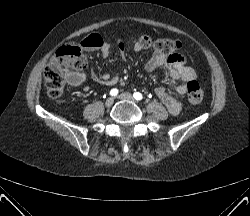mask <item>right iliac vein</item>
<instances>
[{
    "label": "right iliac vein",
    "instance_id": "63e3f726",
    "mask_svg": "<svg viewBox=\"0 0 250 216\" xmlns=\"http://www.w3.org/2000/svg\"><path fill=\"white\" fill-rule=\"evenodd\" d=\"M113 103H114V98H113V97H110V98H108V99L105 101V105H106L107 107H111V106L113 105Z\"/></svg>",
    "mask_w": 250,
    "mask_h": 216
}]
</instances>
